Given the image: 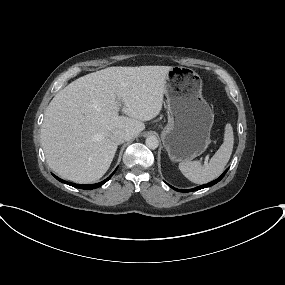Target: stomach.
Returning a JSON list of instances; mask_svg holds the SVG:
<instances>
[{"instance_id": "0dacf381", "label": "stomach", "mask_w": 285, "mask_h": 285, "mask_svg": "<svg viewBox=\"0 0 285 285\" xmlns=\"http://www.w3.org/2000/svg\"><path fill=\"white\" fill-rule=\"evenodd\" d=\"M168 123L161 138L173 162H189L210 143L214 114L202 96L201 77L192 69L172 67L166 77Z\"/></svg>"}]
</instances>
